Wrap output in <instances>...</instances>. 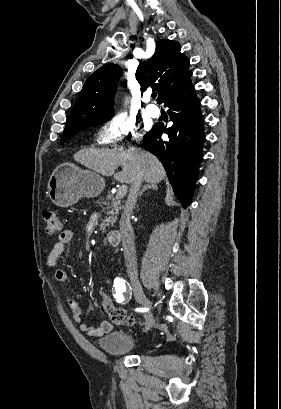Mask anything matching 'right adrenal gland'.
<instances>
[{
  "instance_id": "right-adrenal-gland-1",
  "label": "right adrenal gland",
  "mask_w": 281,
  "mask_h": 409,
  "mask_svg": "<svg viewBox=\"0 0 281 409\" xmlns=\"http://www.w3.org/2000/svg\"><path fill=\"white\" fill-rule=\"evenodd\" d=\"M157 190L158 186L156 184V182H150V184H145V186H143L142 190H139V196H142L143 192H145V190Z\"/></svg>"
}]
</instances>
